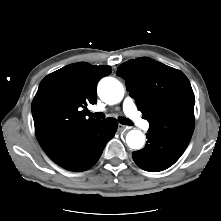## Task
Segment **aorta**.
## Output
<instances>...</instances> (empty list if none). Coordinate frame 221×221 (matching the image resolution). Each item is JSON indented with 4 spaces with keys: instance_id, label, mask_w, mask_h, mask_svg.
<instances>
[{
    "instance_id": "762f6f07",
    "label": "aorta",
    "mask_w": 221,
    "mask_h": 221,
    "mask_svg": "<svg viewBox=\"0 0 221 221\" xmlns=\"http://www.w3.org/2000/svg\"><path fill=\"white\" fill-rule=\"evenodd\" d=\"M98 94L107 104H116L124 96L123 85L113 77H105L98 84ZM126 143L132 149H141L145 143L144 134L139 130H131L126 136Z\"/></svg>"
}]
</instances>
